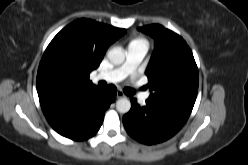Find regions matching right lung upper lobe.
Here are the masks:
<instances>
[{
  "instance_id": "1",
  "label": "right lung upper lobe",
  "mask_w": 248,
  "mask_h": 165,
  "mask_svg": "<svg viewBox=\"0 0 248 165\" xmlns=\"http://www.w3.org/2000/svg\"><path fill=\"white\" fill-rule=\"evenodd\" d=\"M125 29L78 19L50 42L37 73V91L46 117L64 112L93 96L99 88L89 75Z\"/></svg>"
}]
</instances>
